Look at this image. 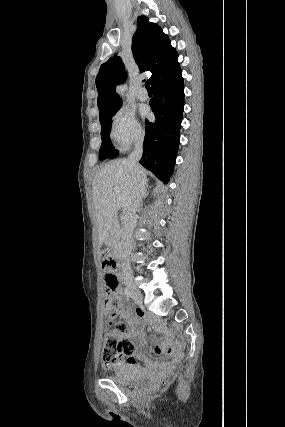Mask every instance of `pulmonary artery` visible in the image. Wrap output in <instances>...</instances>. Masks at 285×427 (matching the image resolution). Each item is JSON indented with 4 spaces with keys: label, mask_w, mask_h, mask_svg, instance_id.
<instances>
[{
    "label": "pulmonary artery",
    "mask_w": 285,
    "mask_h": 427,
    "mask_svg": "<svg viewBox=\"0 0 285 427\" xmlns=\"http://www.w3.org/2000/svg\"><path fill=\"white\" fill-rule=\"evenodd\" d=\"M137 98L141 101H146L148 99V93L144 88H140L137 91Z\"/></svg>",
    "instance_id": "1"
}]
</instances>
